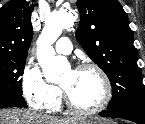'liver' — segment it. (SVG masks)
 <instances>
[{
	"instance_id": "liver-1",
	"label": "liver",
	"mask_w": 145,
	"mask_h": 124,
	"mask_svg": "<svg viewBox=\"0 0 145 124\" xmlns=\"http://www.w3.org/2000/svg\"><path fill=\"white\" fill-rule=\"evenodd\" d=\"M80 118H53L21 109L0 110V124H77Z\"/></svg>"
}]
</instances>
